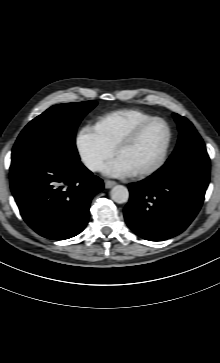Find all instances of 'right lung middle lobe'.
Here are the masks:
<instances>
[{"instance_id":"right-lung-middle-lobe-1","label":"right lung middle lobe","mask_w":220,"mask_h":363,"mask_svg":"<svg viewBox=\"0 0 220 363\" xmlns=\"http://www.w3.org/2000/svg\"><path fill=\"white\" fill-rule=\"evenodd\" d=\"M96 101L74 102L50 107L20 133L12 150V164L36 154H58L72 162L80 160L75 133L82 118Z\"/></svg>"}]
</instances>
